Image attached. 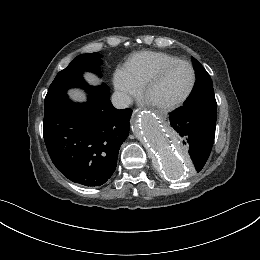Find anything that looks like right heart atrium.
I'll return each instance as SVG.
<instances>
[{"instance_id":"1","label":"right heart atrium","mask_w":260,"mask_h":260,"mask_svg":"<svg viewBox=\"0 0 260 260\" xmlns=\"http://www.w3.org/2000/svg\"><path fill=\"white\" fill-rule=\"evenodd\" d=\"M113 82L120 99L124 103H129L142 90V85L133 81L124 69H117L115 71Z\"/></svg>"}]
</instances>
